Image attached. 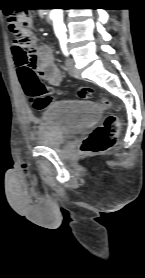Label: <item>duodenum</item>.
I'll return each instance as SVG.
<instances>
[{"label": "duodenum", "instance_id": "duodenum-1", "mask_svg": "<svg viewBox=\"0 0 145 278\" xmlns=\"http://www.w3.org/2000/svg\"><path fill=\"white\" fill-rule=\"evenodd\" d=\"M44 19L47 23H52V13L50 10H47V12H45Z\"/></svg>", "mask_w": 145, "mask_h": 278}]
</instances>
